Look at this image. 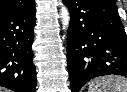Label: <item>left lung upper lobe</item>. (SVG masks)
<instances>
[{
    "label": "left lung upper lobe",
    "instance_id": "1",
    "mask_svg": "<svg viewBox=\"0 0 127 92\" xmlns=\"http://www.w3.org/2000/svg\"><path fill=\"white\" fill-rule=\"evenodd\" d=\"M96 1L104 2V3H107V4H111V5H116L114 0H96Z\"/></svg>",
    "mask_w": 127,
    "mask_h": 92
}]
</instances>
